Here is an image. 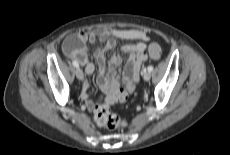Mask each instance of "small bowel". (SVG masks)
Wrapping results in <instances>:
<instances>
[{
  "instance_id": "small-bowel-1",
  "label": "small bowel",
  "mask_w": 230,
  "mask_h": 155,
  "mask_svg": "<svg viewBox=\"0 0 230 155\" xmlns=\"http://www.w3.org/2000/svg\"><path fill=\"white\" fill-rule=\"evenodd\" d=\"M76 40L80 45H74ZM117 40L130 41L121 46L122 52L130 55L129 60L124 64L121 83L116 70L118 66L123 64L119 55L114 54L111 57L108 69L107 71L105 70V53L115 48ZM148 40L149 36L138 29L97 28L92 31H82L70 35L64 41L63 49L69 59L84 66L86 74L91 75L95 71V66L88 61L85 43L100 41L104 44L103 49L95 50L93 55L98 64V85L105 95V103L111 105L125 102L134 90L141 65L147 59L146 43ZM89 95L90 85L85 82L82 87L81 97L85 101L88 110H93L95 104L89 99Z\"/></svg>"
}]
</instances>
